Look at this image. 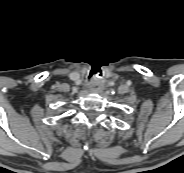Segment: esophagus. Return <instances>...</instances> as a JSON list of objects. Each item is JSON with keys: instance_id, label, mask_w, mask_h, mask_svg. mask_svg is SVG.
<instances>
[{"instance_id": "1", "label": "esophagus", "mask_w": 184, "mask_h": 173, "mask_svg": "<svg viewBox=\"0 0 184 173\" xmlns=\"http://www.w3.org/2000/svg\"><path fill=\"white\" fill-rule=\"evenodd\" d=\"M102 89L101 85L98 82H93L89 86L91 92H99Z\"/></svg>"}]
</instances>
